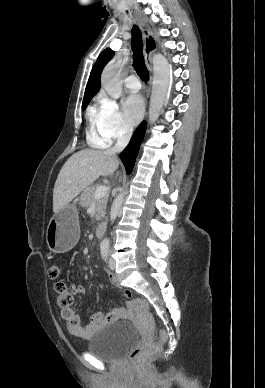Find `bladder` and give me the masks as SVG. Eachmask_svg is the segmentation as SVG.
<instances>
[{"label":"bladder","mask_w":265,"mask_h":388,"mask_svg":"<svg viewBox=\"0 0 265 388\" xmlns=\"http://www.w3.org/2000/svg\"><path fill=\"white\" fill-rule=\"evenodd\" d=\"M137 330L131 322H118L101 329L92 337L87 350L105 361H118L119 357L136 344Z\"/></svg>","instance_id":"31cf9c89"}]
</instances>
